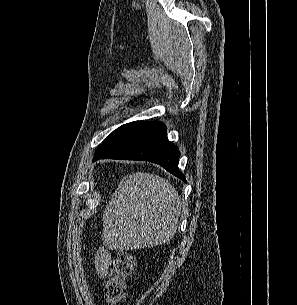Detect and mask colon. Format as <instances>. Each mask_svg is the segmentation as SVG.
<instances>
[{
	"label": "colon",
	"instance_id": "1",
	"mask_svg": "<svg viewBox=\"0 0 297 305\" xmlns=\"http://www.w3.org/2000/svg\"><path fill=\"white\" fill-rule=\"evenodd\" d=\"M135 266V257L128 250L120 251L113 259L103 284V296L107 305H118L127 292L126 282Z\"/></svg>",
	"mask_w": 297,
	"mask_h": 305
}]
</instances>
